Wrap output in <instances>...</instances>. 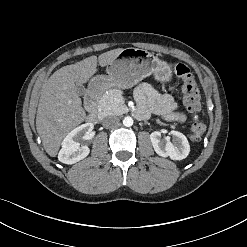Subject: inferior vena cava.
Returning <instances> with one entry per match:
<instances>
[{"mask_svg": "<svg viewBox=\"0 0 247 247\" xmlns=\"http://www.w3.org/2000/svg\"><path fill=\"white\" fill-rule=\"evenodd\" d=\"M103 126L112 128L119 124V118L117 116H107L102 120Z\"/></svg>", "mask_w": 247, "mask_h": 247, "instance_id": "obj_1", "label": "inferior vena cava"}]
</instances>
